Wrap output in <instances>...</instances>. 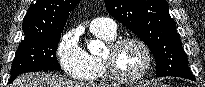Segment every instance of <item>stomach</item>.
I'll return each mask as SVG.
<instances>
[{
  "instance_id": "0dacf381",
  "label": "stomach",
  "mask_w": 205,
  "mask_h": 87,
  "mask_svg": "<svg viewBox=\"0 0 205 87\" xmlns=\"http://www.w3.org/2000/svg\"><path fill=\"white\" fill-rule=\"evenodd\" d=\"M150 83L148 82H139L138 84L133 85L132 87H150ZM156 87V86H155Z\"/></svg>"
}]
</instances>
